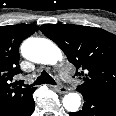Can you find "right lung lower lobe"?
<instances>
[{
    "instance_id": "right-lung-lower-lobe-1",
    "label": "right lung lower lobe",
    "mask_w": 116,
    "mask_h": 116,
    "mask_svg": "<svg viewBox=\"0 0 116 116\" xmlns=\"http://www.w3.org/2000/svg\"><path fill=\"white\" fill-rule=\"evenodd\" d=\"M35 109V102L33 97L29 100V102L23 106L14 116H31Z\"/></svg>"
}]
</instances>
